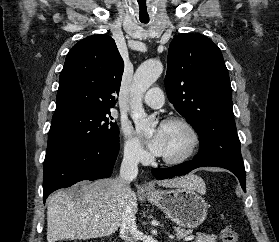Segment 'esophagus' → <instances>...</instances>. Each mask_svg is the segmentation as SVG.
<instances>
[{"mask_svg":"<svg viewBox=\"0 0 279 242\" xmlns=\"http://www.w3.org/2000/svg\"><path fill=\"white\" fill-rule=\"evenodd\" d=\"M142 189L144 191H147V192H150V191H154V186L152 183L150 182H145L143 185H142Z\"/></svg>","mask_w":279,"mask_h":242,"instance_id":"esophagus-1","label":"esophagus"}]
</instances>
